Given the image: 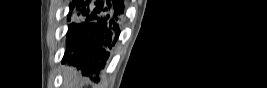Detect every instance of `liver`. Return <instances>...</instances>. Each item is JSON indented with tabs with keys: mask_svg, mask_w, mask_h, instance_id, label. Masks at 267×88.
Instances as JSON below:
<instances>
[{
	"mask_svg": "<svg viewBox=\"0 0 267 88\" xmlns=\"http://www.w3.org/2000/svg\"><path fill=\"white\" fill-rule=\"evenodd\" d=\"M64 76H65V88H71L70 84L74 83L77 78V72L73 67L66 66L64 69Z\"/></svg>",
	"mask_w": 267,
	"mask_h": 88,
	"instance_id": "1",
	"label": "liver"
}]
</instances>
